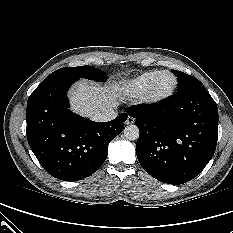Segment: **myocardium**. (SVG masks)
Returning a JSON list of instances; mask_svg holds the SVG:
<instances>
[{
  "mask_svg": "<svg viewBox=\"0 0 233 233\" xmlns=\"http://www.w3.org/2000/svg\"><path fill=\"white\" fill-rule=\"evenodd\" d=\"M165 74H168L170 76H172L173 80H174V83H173V86L172 88L162 94V95H155L153 93V88H154V85L155 83L157 82V80L162 76V75H165ZM178 78L177 76L172 72V71H169V70H163V71H160L153 79L152 81L150 82V84L148 85V87L146 88L145 92L143 93V95L141 96L142 97V101L146 104H149V105H157V104H160V103H163L165 102L166 100H168L169 98H171L177 91V88H178Z\"/></svg>",
  "mask_w": 233,
  "mask_h": 233,
  "instance_id": "f54148a6",
  "label": "myocardium"
}]
</instances>
